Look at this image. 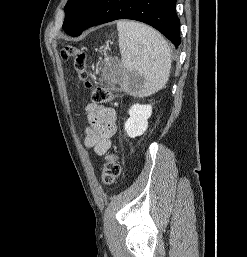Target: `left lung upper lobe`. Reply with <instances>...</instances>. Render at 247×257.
Masks as SVG:
<instances>
[{
  "instance_id": "5c2ea615",
  "label": "left lung upper lobe",
  "mask_w": 247,
  "mask_h": 257,
  "mask_svg": "<svg viewBox=\"0 0 247 257\" xmlns=\"http://www.w3.org/2000/svg\"><path fill=\"white\" fill-rule=\"evenodd\" d=\"M97 1L68 0L64 7L65 20L62 26L68 35L75 33L80 28Z\"/></svg>"
}]
</instances>
